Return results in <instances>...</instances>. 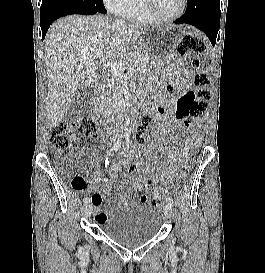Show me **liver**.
<instances>
[{"label":"liver","instance_id":"obj_1","mask_svg":"<svg viewBox=\"0 0 265 273\" xmlns=\"http://www.w3.org/2000/svg\"><path fill=\"white\" fill-rule=\"evenodd\" d=\"M145 29L111 22L102 15H71L57 20L45 38L48 74V127L56 126L74 102L77 90L97 79L94 57L100 64L123 55Z\"/></svg>","mask_w":265,"mask_h":273}]
</instances>
